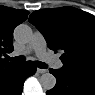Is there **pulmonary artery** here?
I'll return each instance as SVG.
<instances>
[{"mask_svg": "<svg viewBox=\"0 0 95 95\" xmlns=\"http://www.w3.org/2000/svg\"><path fill=\"white\" fill-rule=\"evenodd\" d=\"M31 51H35L39 59L49 63L53 68L59 69L62 67V62L47 51L45 38L39 31H36L33 34L32 39L26 46L23 54H28ZM16 54L18 53L15 52L14 55Z\"/></svg>", "mask_w": 95, "mask_h": 95, "instance_id": "1", "label": "pulmonary artery"}]
</instances>
